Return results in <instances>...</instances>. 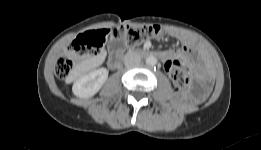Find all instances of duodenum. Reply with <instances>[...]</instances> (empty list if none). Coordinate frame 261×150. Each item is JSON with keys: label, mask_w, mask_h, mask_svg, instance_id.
Masks as SVG:
<instances>
[{"label": "duodenum", "mask_w": 261, "mask_h": 150, "mask_svg": "<svg viewBox=\"0 0 261 150\" xmlns=\"http://www.w3.org/2000/svg\"><path fill=\"white\" fill-rule=\"evenodd\" d=\"M134 54L137 55V56L158 57V53L150 52V51L145 50V49L137 50V51L134 52ZM121 61H122V57L119 54H113L109 58L108 63H109L110 68L116 69L121 64Z\"/></svg>", "instance_id": "1"}]
</instances>
